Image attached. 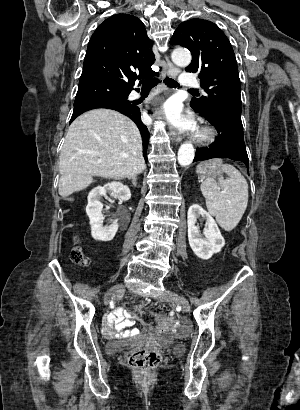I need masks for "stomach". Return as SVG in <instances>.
I'll return each instance as SVG.
<instances>
[{
  "label": "stomach",
  "mask_w": 300,
  "mask_h": 410,
  "mask_svg": "<svg viewBox=\"0 0 300 410\" xmlns=\"http://www.w3.org/2000/svg\"><path fill=\"white\" fill-rule=\"evenodd\" d=\"M222 172V161L220 159L203 162L197 167V174L202 177L212 178L221 175Z\"/></svg>",
  "instance_id": "1"
}]
</instances>
